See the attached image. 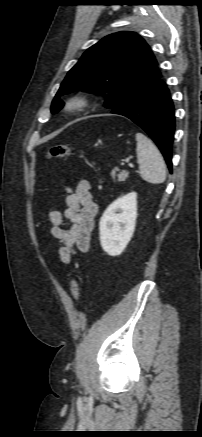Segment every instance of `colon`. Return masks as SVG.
<instances>
[{
  "label": "colon",
  "instance_id": "5ec220e1",
  "mask_svg": "<svg viewBox=\"0 0 202 437\" xmlns=\"http://www.w3.org/2000/svg\"><path fill=\"white\" fill-rule=\"evenodd\" d=\"M72 149L68 145H55L48 149L46 156L49 159L64 158L71 155ZM80 283L77 279H72L70 284V293L74 300L80 297Z\"/></svg>",
  "mask_w": 202,
  "mask_h": 437
}]
</instances>
